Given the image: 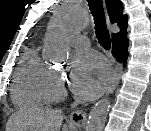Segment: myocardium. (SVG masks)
I'll list each match as a JSON object with an SVG mask.
<instances>
[{
  "mask_svg": "<svg viewBox=\"0 0 151 131\" xmlns=\"http://www.w3.org/2000/svg\"><path fill=\"white\" fill-rule=\"evenodd\" d=\"M45 98L49 101L60 100L65 96V89L56 73H51L44 85Z\"/></svg>",
  "mask_w": 151,
  "mask_h": 131,
  "instance_id": "obj_1",
  "label": "myocardium"
}]
</instances>
